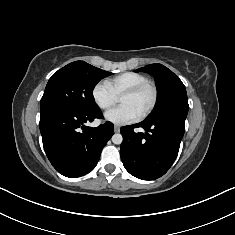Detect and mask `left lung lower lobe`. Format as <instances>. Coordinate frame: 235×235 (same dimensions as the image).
Listing matches in <instances>:
<instances>
[{
    "label": "left lung lower lobe",
    "instance_id": "obj_1",
    "mask_svg": "<svg viewBox=\"0 0 235 235\" xmlns=\"http://www.w3.org/2000/svg\"><path fill=\"white\" fill-rule=\"evenodd\" d=\"M185 119L179 115H165L122 127L120 155L126 170L143 180L164 175L177 157ZM137 127H142L145 133L134 132Z\"/></svg>",
    "mask_w": 235,
    "mask_h": 235
}]
</instances>
